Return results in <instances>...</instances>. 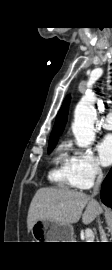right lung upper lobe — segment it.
<instances>
[{
	"label": "right lung upper lobe",
	"instance_id": "1",
	"mask_svg": "<svg viewBox=\"0 0 112 270\" xmlns=\"http://www.w3.org/2000/svg\"><path fill=\"white\" fill-rule=\"evenodd\" d=\"M69 101H70V96L68 95L65 98V100L62 104V107L56 116V121H55L53 130H52L51 135H50L49 143L57 142L58 137L63 132L64 126H65L66 121H67Z\"/></svg>",
	"mask_w": 112,
	"mask_h": 270
}]
</instances>
